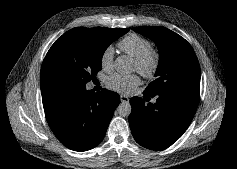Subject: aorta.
<instances>
[{
    "mask_svg": "<svg viewBox=\"0 0 237 169\" xmlns=\"http://www.w3.org/2000/svg\"><path fill=\"white\" fill-rule=\"evenodd\" d=\"M114 68L118 73H131L133 71V64L128 57L123 55L115 59ZM131 110V105L127 101L121 102L117 107V112L121 117H128Z\"/></svg>",
    "mask_w": 237,
    "mask_h": 169,
    "instance_id": "aorta-1",
    "label": "aorta"
}]
</instances>
